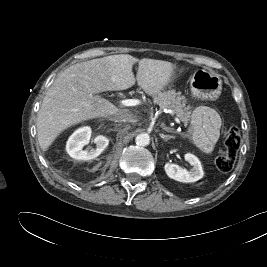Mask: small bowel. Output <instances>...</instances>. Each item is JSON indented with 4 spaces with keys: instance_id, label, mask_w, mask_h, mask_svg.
Returning a JSON list of instances; mask_svg holds the SVG:
<instances>
[{
    "instance_id": "1",
    "label": "small bowel",
    "mask_w": 267,
    "mask_h": 267,
    "mask_svg": "<svg viewBox=\"0 0 267 267\" xmlns=\"http://www.w3.org/2000/svg\"><path fill=\"white\" fill-rule=\"evenodd\" d=\"M222 119L219 113L209 107H197L191 115L188 134L203 152H210L220 136Z\"/></svg>"
}]
</instances>
